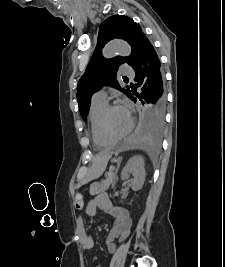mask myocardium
I'll return each instance as SVG.
<instances>
[{
    "instance_id": "myocardium-1",
    "label": "myocardium",
    "mask_w": 225,
    "mask_h": 267,
    "mask_svg": "<svg viewBox=\"0 0 225 267\" xmlns=\"http://www.w3.org/2000/svg\"><path fill=\"white\" fill-rule=\"evenodd\" d=\"M115 108H119V106L117 104H107L104 107L103 111L101 112L100 118H99V129H100V132L105 139L113 142L114 144H117V143L122 142L123 140H125L128 137V135L130 134V132L133 129V120H132V118H130V123H129L128 129L126 130V132L122 136H119V137L112 136L107 130L106 118H107L108 113L112 109H115Z\"/></svg>"
}]
</instances>
